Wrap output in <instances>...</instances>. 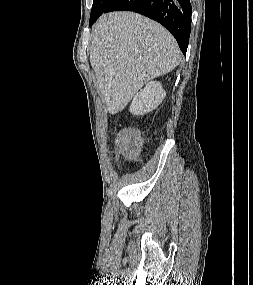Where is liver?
<instances>
[{"label":"liver","mask_w":253,"mask_h":285,"mask_svg":"<svg viewBox=\"0 0 253 285\" xmlns=\"http://www.w3.org/2000/svg\"><path fill=\"white\" fill-rule=\"evenodd\" d=\"M91 39L90 63L109 114L122 111L145 83L181 61L174 37L159 23L133 12L101 16Z\"/></svg>","instance_id":"liver-1"}]
</instances>
